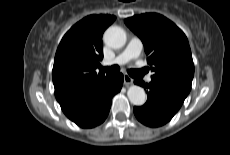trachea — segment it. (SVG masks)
Returning a JSON list of instances; mask_svg holds the SVG:
<instances>
[{
  "mask_svg": "<svg viewBox=\"0 0 230 155\" xmlns=\"http://www.w3.org/2000/svg\"><path fill=\"white\" fill-rule=\"evenodd\" d=\"M101 70L104 72H112V73H118L120 71V67L118 65H113L111 67H101ZM128 73L131 77H141L143 75L142 70H128Z\"/></svg>",
  "mask_w": 230,
  "mask_h": 155,
  "instance_id": "obj_1",
  "label": "trachea"
}]
</instances>
